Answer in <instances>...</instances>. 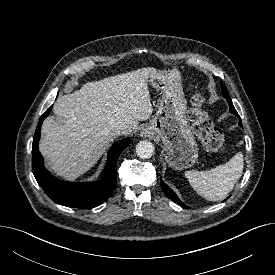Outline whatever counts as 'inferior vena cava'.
<instances>
[{
    "label": "inferior vena cava",
    "mask_w": 275,
    "mask_h": 275,
    "mask_svg": "<svg viewBox=\"0 0 275 275\" xmlns=\"http://www.w3.org/2000/svg\"><path fill=\"white\" fill-rule=\"evenodd\" d=\"M116 133L119 135V134H127L128 133V130L126 127L122 126V127H119L117 130H116Z\"/></svg>",
    "instance_id": "inferior-vena-cava-1"
}]
</instances>
